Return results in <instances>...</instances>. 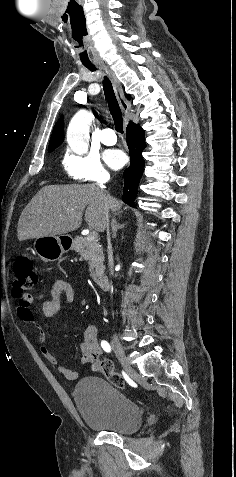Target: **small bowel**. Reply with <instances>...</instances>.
<instances>
[{"label": "small bowel", "instance_id": "c3829d8e", "mask_svg": "<svg viewBox=\"0 0 236 477\" xmlns=\"http://www.w3.org/2000/svg\"><path fill=\"white\" fill-rule=\"evenodd\" d=\"M43 288H49L51 299L45 300L44 294L39 293L36 297L37 301L41 303L40 311L44 319H49L57 315L62 303H72L75 297V290L73 285L63 278H55L48 283H45ZM18 316L38 330L39 339L43 343L41 346V352L45 360L54 366L58 373L63 375L68 380H76L79 377L77 371L72 370L58 363L56 356L45 345L47 338L45 334L40 330L37 324L31 307L26 308L19 306L17 308ZM102 356V347L98 341V328L95 324H89L84 329V338L80 344V357L79 363L90 362L92 364V370L98 372L97 362Z\"/></svg>", "mask_w": 236, "mask_h": 477}]
</instances>
